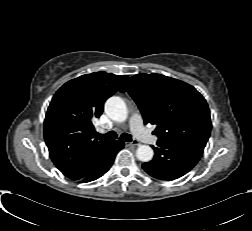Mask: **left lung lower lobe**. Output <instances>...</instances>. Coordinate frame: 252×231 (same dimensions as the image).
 I'll return each mask as SVG.
<instances>
[{"label":"left lung lower lobe","instance_id":"1","mask_svg":"<svg viewBox=\"0 0 252 231\" xmlns=\"http://www.w3.org/2000/svg\"><path fill=\"white\" fill-rule=\"evenodd\" d=\"M153 147V146H152ZM204 147L188 141H158L153 160L142 164L152 177L173 180L188 173L201 158Z\"/></svg>","mask_w":252,"mask_h":231}]
</instances>
